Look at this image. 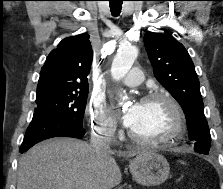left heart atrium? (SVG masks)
<instances>
[{"instance_id": "left-heart-atrium-1", "label": "left heart atrium", "mask_w": 223, "mask_h": 189, "mask_svg": "<svg viewBox=\"0 0 223 189\" xmlns=\"http://www.w3.org/2000/svg\"><path fill=\"white\" fill-rule=\"evenodd\" d=\"M140 115V103L134 104L123 116L122 122L126 127L131 128Z\"/></svg>"}]
</instances>
